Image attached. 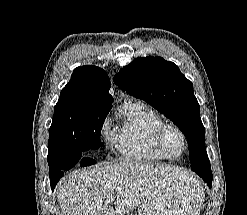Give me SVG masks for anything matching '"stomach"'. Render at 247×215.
I'll return each instance as SVG.
<instances>
[{
    "label": "stomach",
    "instance_id": "stomach-1",
    "mask_svg": "<svg viewBox=\"0 0 247 215\" xmlns=\"http://www.w3.org/2000/svg\"><path fill=\"white\" fill-rule=\"evenodd\" d=\"M201 183L191 175L168 180L138 208V215H199L204 201Z\"/></svg>",
    "mask_w": 247,
    "mask_h": 215
}]
</instances>
